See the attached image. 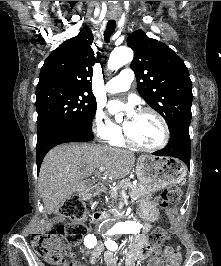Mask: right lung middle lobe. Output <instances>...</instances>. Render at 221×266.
I'll return each mask as SVG.
<instances>
[{"mask_svg":"<svg viewBox=\"0 0 221 266\" xmlns=\"http://www.w3.org/2000/svg\"><path fill=\"white\" fill-rule=\"evenodd\" d=\"M96 108L95 97L87 92L65 88L37 89V140L62 127L91 131Z\"/></svg>","mask_w":221,"mask_h":266,"instance_id":"right-lung-middle-lobe-1","label":"right lung middle lobe"}]
</instances>
